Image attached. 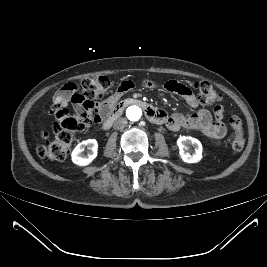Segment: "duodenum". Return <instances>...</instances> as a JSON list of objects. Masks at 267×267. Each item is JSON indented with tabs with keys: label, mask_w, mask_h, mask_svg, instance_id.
<instances>
[{
	"label": "duodenum",
	"mask_w": 267,
	"mask_h": 267,
	"mask_svg": "<svg viewBox=\"0 0 267 267\" xmlns=\"http://www.w3.org/2000/svg\"><path fill=\"white\" fill-rule=\"evenodd\" d=\"M130 105H137L141 107L144 113L146 114V116L148 117V119H150L152 122L154 123L164 122V115L160 110L155 109L154 107H152L150 104L146 102H143L138 99L130 98V99H126L118 103L112 108V110L109 112V114L107 115V117L105 118L103 122V125H102L103 129H109L112 126L113 122L118 117L121 116L125 108Z\"/></svg>",
	"instance_id": "duodenum-1"
}]
</instances>
